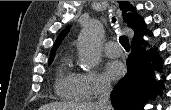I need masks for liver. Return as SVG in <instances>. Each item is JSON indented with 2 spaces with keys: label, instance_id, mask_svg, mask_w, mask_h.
Here are the masks:
<instances>
[{
  "label": "liver",
  "instance_id": "liver-1",
  "mask_svg": "<svg viewBox=\"0 0 171 110\" xmlns=\"http://www.w3.org/2000/svg\"><path fill=\"white\" fill-rule=\"evenodd\" d=\"M39 110H99L96 104H73L67 102H54L41 106Z\"/></svg>",
  "mask_w": 171,
  "mask_h": 110
}]
</instances>
